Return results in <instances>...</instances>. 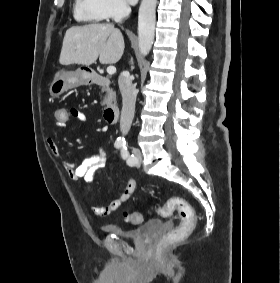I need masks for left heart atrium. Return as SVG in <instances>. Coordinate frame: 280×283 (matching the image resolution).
Segmentation results:
<instances>
[{"label":"left heart atrium","instance_id":"left-heart-atrium-1","mask_svg":"<svg viewBox=\"0 0 280 283\" xmlns=\"http://www.w3.org/2000/svg\"><path fill=\"white\" fill-rule=\"evenodd\" d=\"M127 1H128V3H129V4L134 5V4H136V3H137V1H138V0H127Z\"/></svg>","mask_w":280,"mask_h":283}]
</instances>
